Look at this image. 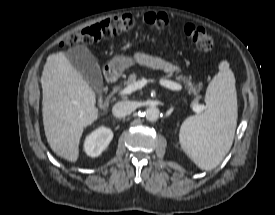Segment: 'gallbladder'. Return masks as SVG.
Instances as JSON below:
<instances>
[{"mask_svg":"<svg viewBox=\"0 0 275 215\" xmlns=\"http://www.w3.org/2000/svg\"><path fill=\"white\" fill-rule=\"evenodd\" d=\"M65 55L74 68L82 74L90 87L98 90L103 86L100 66L85 46L79 45L70 48Z\"/></svg>","mask_w":275,"mask_h":215,"instance_id":"1","label":"gallbladder"}]
</instances>
